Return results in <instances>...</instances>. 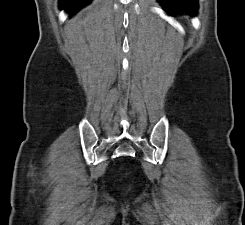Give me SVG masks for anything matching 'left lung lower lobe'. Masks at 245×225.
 Returning a JSON list of instances; mask_svg holds the SVG:
<instances>
[{
  "instance_id": "1",
  "label": "left lung lower lobe",
  "mask_w": 245,
  "mask_h": 225,
  "mask_svg": "<svg viewBox=\"0 0 245 225\" xmlns=\"http://www.w3.org/2000/svg\"><path fill=\"white\" fill-rule=\"evenodd\" d=\"M164 10L170 14L175 15L176 13L188 12L190 14H196L198 9L197 0H158Z\"/></svg>"
}]
</instances>
